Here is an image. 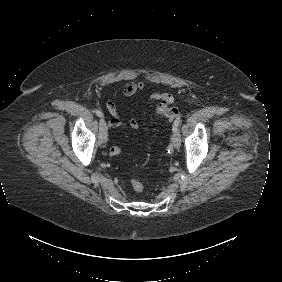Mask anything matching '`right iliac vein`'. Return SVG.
<instances>
[{
	"instance_id": "63e3f726",
	"label": "right iliac vein",
	"mask_w": 282,
	"mask_h": 282,
	"mask_svg": "<svg viewBox=\"0 0 282 282\" xmlns=\"http://www.w3.org/2000/svg\"><path fill=\"white\" fill-rule=\"evenodd\" d=\"M99 137L102 143L107 141V124L103 118L99 122Z\"/></svg>"
}]
</instances>
